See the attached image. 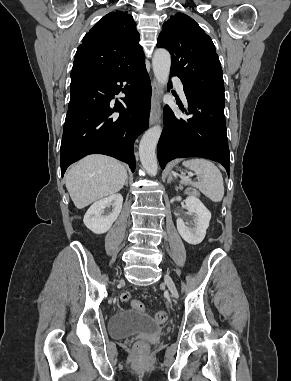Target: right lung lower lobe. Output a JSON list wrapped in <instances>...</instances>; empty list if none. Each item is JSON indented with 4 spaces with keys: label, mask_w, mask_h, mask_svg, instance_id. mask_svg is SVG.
Here are the masks:
<instances>
[{
    "label": "right lung lower lobe",
    "mask_w": 291,
    "mask_h": 381,
    "mask_svg": "<svg viewBox=\"0 0 291 381\" xmlns=\"http://www.w3.org/2000/svg\"><path fill=\"white\" fill-rule=\"evenodd\" d=\"M119 92L126 95L124 104L112 101ZM150 96L144 59L109 75L71 72L70 102L60 148L61 176L70 164L88 154L115 157L134 172V142L149 126Z\"/></svg>",
    "instance_id": "obj_1"
}]
</instances>
